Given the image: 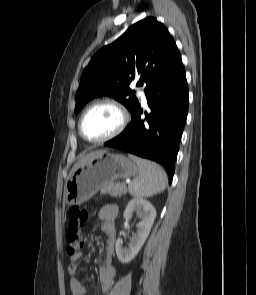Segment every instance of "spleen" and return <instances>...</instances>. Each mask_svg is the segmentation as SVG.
Returning <instances> with one entry per match:
<instances>
[{"instance_id": "obj_1", "label": "spleen", "mask_w": 256, "mask_h": 295, "mask_svg": "<svg viewBox=\"0 0 256 295\" xmlns=\"http://www.w3.org/2000/svg\"><path fill=\"white\" fill-rule=\"evenodd\" d=\"M139 167L140 175L128 186L129 193L138 198L150 197L163 192L167 185L164 170L155 162L130 155Z\"/></svg>"}]
</instances>
